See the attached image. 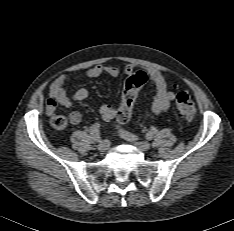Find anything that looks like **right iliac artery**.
Instances as JSON below:
<instances>
[{"mask_svg":"<svg viewBox=\"0 0 234 231\" xmlns=\"http://www.w3.org/2000/svg\"><path fill=\"white\" fill-rule=\"evenodd\" d=\"M99 129H100L99 123H95L90 127V139L92 143L99 142L100 140Z\"/></svg>","mask_w":234,"mask_h":231,"instance_id":"obj_1","label":"right iliac artery"}]
</instances>
